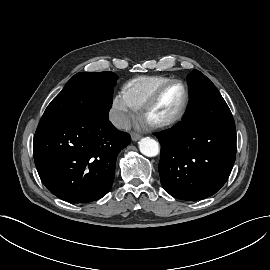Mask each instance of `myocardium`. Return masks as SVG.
<instances>
[{"mask_svg":"<svg viewBox=\"0 0 270 270\" xmlns=\"http://www.w3.org/2000/svg\"><path fill=\"white\" fill-rule=\"evenodd\" d=\"M172 85H180L183 89V100L169 115L157 119H149V114L161 98L163 92ZM190 102V92L186 83L179 79H170L161 84L140 109V118L152 129H164L179 122L185 115Z\"/></svg>","mask_w":270,"mask_h":270,"instance_id":"1","label":"myocardium"}]
</instances>
